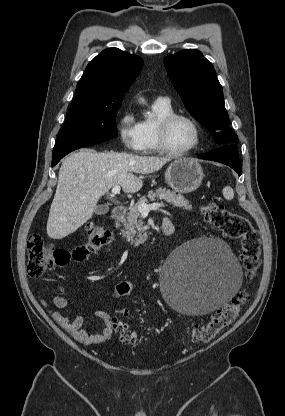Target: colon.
I'll use <instances>...</instances> for the list:
<instances>
[{
  "instance_id": "colon-1",
  "label": "colon",
  "mask_w": 285,
  "mask_h": 416,
  "mask_svg": "<svg viewBox=\"0 0 285 416\" xmlns=\"http://www.w3.org/2000/svg\"><path fill=\"white\" fill-rule=\"evenodd\" d=\"M201 212L205 221L220 230L224 236L240 241V258L246 277L248 281H253L260 265V238L251 222L244 216L233 213L215 202L204 205ZM110 240V231L96 223H89L86 226L85 243L72 250L56 248L45 243L40 235L32 234L27 243V273L32 278H38L47 270L64 266L72 260L83 261L89 254L107 245ZM131 288L130 283L120 282L115 289L116 295L126 297L130 295ZM249 297L246 290L239 291L230 303L213 313L206 323L195 327L191 342L206 343L215 338L236 320ZM111 321L114 331L124 344L137 345V336L120 317L113 316Z\"/></svg>"
}]
</instances>
